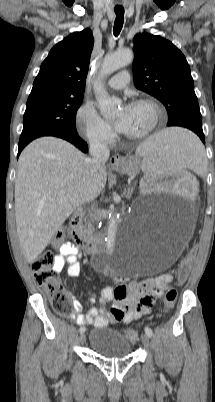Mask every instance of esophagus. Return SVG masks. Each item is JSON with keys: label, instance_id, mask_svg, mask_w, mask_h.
I'll use <instances>...</instances> for the list:
<instances>
[{"label": "esophagus", "instance_id": "esophagus-1", "mask_svg": "<svg viewBox=\"0 0 215 402\" xmlns=\"http://www.w3.org/2000/svg\"><path fill=\"white\" fill-rule=\"evenodd\" d=\"M122 163H123V159H122L121 155H119V154L112 155L109 160V165L112 168H117V167L121 166Z\"/></svg>", "mask_w": 215, "mask_h": 402}]
</instances>
